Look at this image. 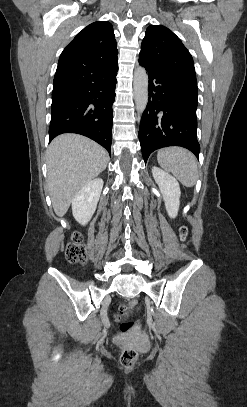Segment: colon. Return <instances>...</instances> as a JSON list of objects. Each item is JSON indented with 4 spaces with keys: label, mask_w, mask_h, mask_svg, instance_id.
I'll list each match as a JSON object with an SVG mask.
<instances>
[{
    "label": "colon",
    "mask_w": 247,
    "mask_h": 407,
    "mask_svg": "<svg viewBox=\"0 0 247 407\" xmlns=\"http://www.w3.org/2000/svg\"><path fill=\"white\" fill-rule=\"evenodd\" d=\"M189 230L186 226L180 228V238L185 242L188 238ZM66 258L71 263H82L88 258V251L83 244L81 234L73 233L66 247ZM138 307L137 300H131L127 304H122L113 316L114 321L123 332L129 331L137 326V323L130 318ZM138 359V352L130 347L123 346L120 353V362L124 367L133 366Z\"/></svg>",
    "instance_id": "1"
}]
</instances>
